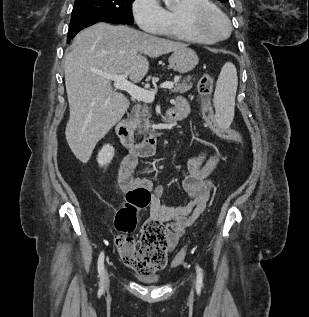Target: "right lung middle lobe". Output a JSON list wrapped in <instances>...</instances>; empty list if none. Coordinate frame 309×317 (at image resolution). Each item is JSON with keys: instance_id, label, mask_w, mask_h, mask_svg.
Segmentation results:
<instances>
[{"instance_id": "1", "label": "right lung middle lobe", "mask_w": 309, "mask_h": 317, "mask_svg": "<svg viewBox=\"0 0 309 317\" xmlns=\"http://www.w3.org/2000/svg\"><path fill=\"white\" fill-rule=\"evenodd\" d=\"M134 0H75L71 21L87 17H101L122 24H132Z\"/></svg>"}]
</instances>
